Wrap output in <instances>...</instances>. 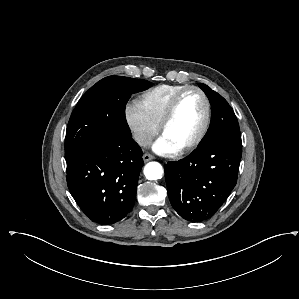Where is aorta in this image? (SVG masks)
Masks as SVG:
<instances>
[{
  "label": "aorta",
  "instance_id": "aorta-1",
  "mask_svg": "<svg viewBox=\"0 0 299 299\" xmlns=\"http://www.w3.org/2000/svg\"><path fill=\"white\" fill-rule=\"evenodd\" d=\"M164 170L160 163L149 162L144 167V175L148 180H158L163 176Z\"/></svg>",
  "mask_w": 299,
  "mask_h": 299
}]
</instances>
